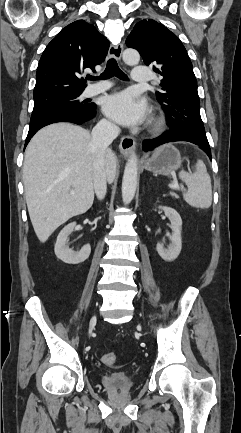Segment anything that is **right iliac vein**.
<instances>
[{
	"mask_svg": "<svg viewBox=\"0 0 241 433\" xmlns=\"http://www.w3.org/2000/svg\"><path fill=\"white\" fill-rule=\"evenodd\" d=\"M95 323H96V316L94 315V316H92V318L90 319L89 334L92 333V329H93V326H94Z\"/></svg>",
	"mask_w": 241,
	"mask_h": 433,
	"instance_id": "1",
	"label": "right iliac vein"
}]
</instances>
